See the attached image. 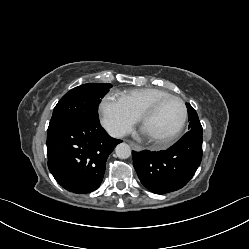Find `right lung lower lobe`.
<instances>
[{"label": "right lung lower lobe", "mask_w": 249, "mask_h": 249, "mask_svg": "<svg viewBox=\"0 0 249 249\" xmlns=\"http://www.w3.org/2000/svg\"><path fill=\"white\" fill-rule=\"evenodd\" d=\"M122 142L100 123L78 122L47 134L48 168L66 190L86 194L96 190L109 154Z\"/></svg>", "instance_id": "right-lung-lower-lobe-1"}]
</instances>
